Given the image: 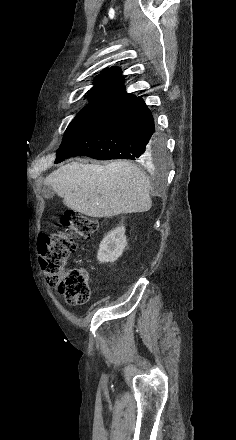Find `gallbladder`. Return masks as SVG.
I'll use <instances>...</instances> for the list:
<instances>
[{"label":"gallbladder","instance_id":"bac80fb5","mask_svg":"<svg viewBox=\"0 0 236 440\" xmlns=\"http://www.w3.org/2000/svg\"><path fill=\"white\" fill-rule=\"evenodd\" d=\"M42 195L46 199H52L55 196V191L50 185H44L42 188Z\"/></svg>","mask_w":236,"mask_h":440}]
</instances>
